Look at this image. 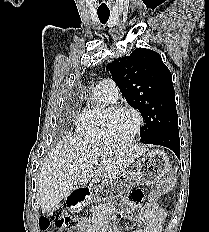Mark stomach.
Masks as SVG:
<instances>
[{"instance_id":"1","label":"stomach","mask_w":209,"mask_h":232,"mask_svg":"<svg viewBox=\"0 0 209 232\" xmlns=\"http://www.w3.org/2000/svg\"><path fill=\"white\" fill-rule=\"evenodd\" d=\"M169 172V159L161 150H151L142 154L136 171H125V176L116 178V182H105V186H92L88 191L85 206H94L98 199H121L122 191H128L135 184L152 185L157 183ZM84 221V216L78 217Z\"/></svg>"}]
</instances>
